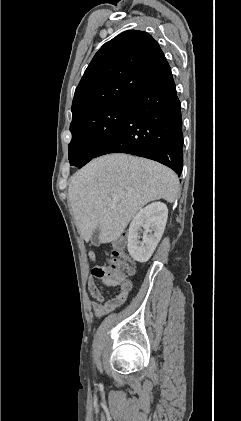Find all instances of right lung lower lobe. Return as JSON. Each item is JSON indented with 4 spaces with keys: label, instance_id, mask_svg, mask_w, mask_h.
Returning <instances> with one entry per match:
<instances>
[{
    "label": "right lung lower lobe",
    "instance_id": "98d812e1",
    "mask_svg": "<svg viewBox=\"0 0 241 421\" xmlns=\"http://www.w3.org/2000/svg\"><path fill=\"white\" fill-rule=\"evenodd\" d=\"M180 107L167 63L129 99L120 127L95 157L109 153L137 155L158 161L180 176L183 161Z\"/></svg>",
    "mask_w": 241,
    "mask_h": 421
}]
</instances>
